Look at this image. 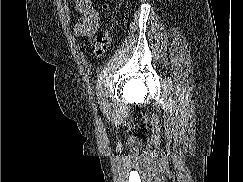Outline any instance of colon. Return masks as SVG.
Returning a JSON list of instances; mask_svg holds the SVG:
<instances>
[{
    "mask_svg": "<svg viewBox=\"0 0 243 182\" xmlns=\"http://www.w3.org/2000/svg\"><path fill=\"white\" fill-rule=\"evenodd\" d=\"M103 9L108 10L109 4L105 2ZM111 43V27L109 25L104 26L101 31L96 35L93 52L95 56H103Z\"/></svg>",
    "mask_w": 243,
    "mask_h": 182,
    "instance_id": "5ec220e1",
    "label": "colon"
}]
</instances>
